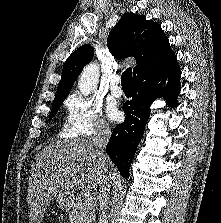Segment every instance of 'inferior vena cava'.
<instances>
[{
	"label": "inferior vena cava",
	"mask_w": 221,
	"mask_h": 223,
	"mask_svg": "<svg viewBox=\"0 0 221 223\" xmlns=\"http://www.w3.org/2000/svg\"><path fill=\"white\" fill-rule=\"evenodd\" d=\"M111 129L106 122H99L94 130L92 143L97 148V154L99 157L100 166L103 169L102 176L99 182V220L103 223L105 218V212L108 204L109 196V179L106 171V161L107 155L105 152V147L110 139Z\"/></svg>",
	"instance_id": "inferior-vena-cava-1"
}]
</instances>
